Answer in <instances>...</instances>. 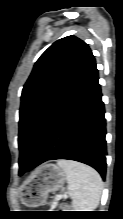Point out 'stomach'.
Segmentation results:
<instances>
[{
  "label": "stomach",
  "mask_w": 123,
  "mask_h": 219,
  "mask_svg": "<svg viewBox=\"0 0 123 219\" xmlns=\"http://www.w3.org/2000/svg\"><path fill=\"white\" fill-rule=\"evenodd\" d=\"M66 180L64 170L56 164L40 166L24 187L22 201L25 205L36 207L42 205L48 194L59 190Z\"/></svg>",
  "instance_id": "1"
}]
</instances>
